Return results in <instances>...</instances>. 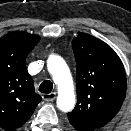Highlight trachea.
<instances>
[{
    "instance_id": "1",
    "label": "trachea",
    "mask_w": 131,
    "mask_h": 131,
    "mask_svg": "<svg viewBox=\"0 0 131 131\" xmlns=\"http://www.w3.org/2000/svg\"><path fill=\"white\" fill-rule=\"evenodd\" d=\"M53 89V84L49 80L43 81L39 86V91L45 94H49Z\"/></svg>"
}]
</instances>
